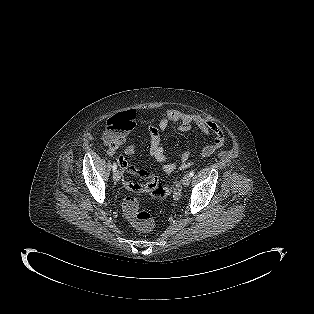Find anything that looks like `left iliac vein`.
I'll list each match as a JSON object with an SVG mask.
<instances>
[{
	"mask_svg": "<svg viewBox=\"0 0 314 314\" xmlns=\"http://www.w3.org/2000/svg\"><path fill=\"white\" fill-rule=\"evenodd\" d=\"M190 180H191V177L189 174H186L184 177H183V180H182V184L183 186H188L190 184Z\"/></svg>",
	"mask_w": 314,
	"mask_h": 314,
	"instance_id": "obj_1",
	"label": "left iliac vein"
}]
</instances>
